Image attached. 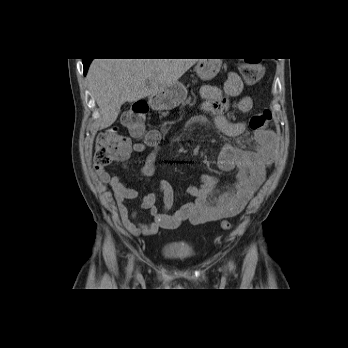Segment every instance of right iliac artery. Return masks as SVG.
<instances>
[{"mask_svg":"<svg viewBox=\"0 0 348 348\" xmlns=\"http://www.w3.org/2000/svg\"><path fill=\"white\" fill-rule=\"evenodd\" d=\"M132 268V261L129 263V266H128V272H130V269Z\"/></svg>","mask_w":348,"mask_h":348,"instance_id":"right-iliac-artery-1","label":"right iliac artery"}]
</instances>
